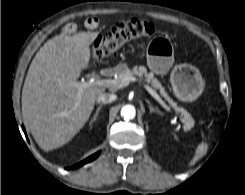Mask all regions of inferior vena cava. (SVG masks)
Returning <instances> with one entry per match:
<instances>
[{
    "instance_id": "obj_1",
    "label": "inferior vena cava",
    "mask_w": 245,
    "mask_h": 195,
    "mask_svg": "<svg viewBox=\"0 0 245 195\" xmlns=\"http://www.w3.org/2000/svg\"><path fill=\"white\" fill-rule=\"evenodd\" d=\"M116 98H117V96L115 94L101 93L97 96L96 102L107 104V103H111V102L115 101Z\"/></svg>"
}]
</instances>
